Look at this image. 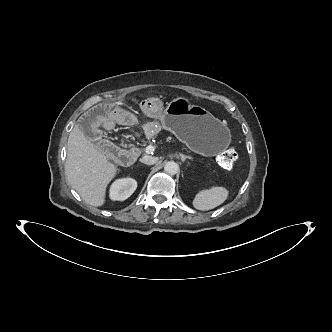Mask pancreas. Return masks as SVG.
<instances>
[{"label":"pancreas","instance_id":"pancreas-1","mask_svg":"<svg viewBox=\"0 0 332 332\" xmlns=\"http://www.w3.org/2000/svg\"><path fill=\"white\" fill-rule=\"evenodd\" d=\"M167 141L168 142H175V140L171 136L167 137Z\"/></svg>","mask_w":332,"mask_h":332}]
</instances>
